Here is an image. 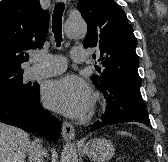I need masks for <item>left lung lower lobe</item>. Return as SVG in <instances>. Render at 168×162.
Listing matches in <instances>:
<instances>
[{
	"instance_id": "0a47b994",
	"label": "left lung lower lobe",
	"mask_w": 168,
	"mask_h": 162,
	"mask_svg": "<svg viewBox=\"0 0 168 162\" xmlns=\"http://www.w3.org/2000/svg\"><path fill=\"white\" fill-rule=\"evenodd\" d=\"M108 103L101 121L91 126V131L122 122H139L150 126L147 106L142 99L140 88L126 84L110 86L104 91Z\"/></svg>"
}]
</instances>
